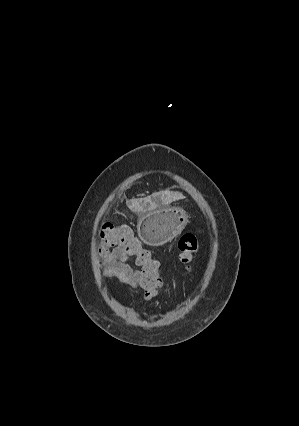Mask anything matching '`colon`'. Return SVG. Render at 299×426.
Returning <instances> with one entry per match:
<instances>
[{
    "instance_id": "obj_1",
    "label": "colon",
    "mask_w": 299,
    "mask_h": 426,
    "mask_svg": "<svg viewBox=\"0 0 299 426\" xmlns=\"http://www.w3.org/2000/svg\"><path fill=\"white\" fill-rule=\"evenodd\" d=\"M199 244L198 234L192 232L182 235L178 242L179 260L188 270L192 267ZM114 248L123 249L142 269L140 291L144 298L148 301L158 299L162 279L159 261L154 258L152 251L143 245L129 226L104 223L100 230L99 253L105 257Z\"/></svg>"
}]
</instances>
